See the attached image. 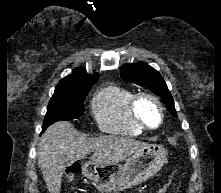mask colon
Returning <instances> with one entry per match:
<instances>
[{
	"mask_svg": "<svg viewBox=\"0 0 221 193\" xmlns=\"http://www.w3.org/2000/svg\"><path fill=\"white\" fill-rule=\"evenodd\" d=\"M79 170V165H74V166H72L71 168H70V173L71 174H74V173H76L77 171ZM170 187V183H167L166 185H164L162 188H164L165 189V193L167 192V190H168V188ZM161 188V189H162ZM160 189V190H161ZM160 190L158 191V193L160 192Z\"/></svg>",
	"mask_w": 221,
	"mask_h": 193,
	"instance_id": "5ec220e1",
	"label": "colon"
}]
</instances>
